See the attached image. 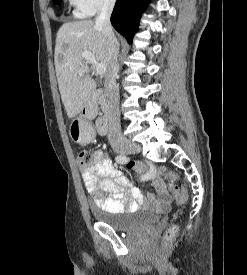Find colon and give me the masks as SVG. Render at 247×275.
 I'll list each match as a JSON object with an SVG mask.
<instances>
[{
  "label": "colon",
  "mask_w": 247,
  "mask_h": 275,
  "mask_svg": "<svg viewBox=\"0 0 247 275\" xmlns=\"http://www.w3.org/2000/svg\"><path fill=\"white\" fill-rule=\"evenodd\" d=\"M92 156L87 151L80 152L78 156V163L82 167L88 166L92 163ZM137 163L129 162L128 168L132 169L136 166ZM178 175L174 172H167L163 175V180L168 183L167 187L171 194L176 198L179 204H183L187 199V190L185 187H179L174 184L175 181L178 180ZM178 232L177 225L170 226L164 234V244H168L172 239L176 236Z\"/></svg>",
  "instance_id": "obj_1"
}]
</instances>
